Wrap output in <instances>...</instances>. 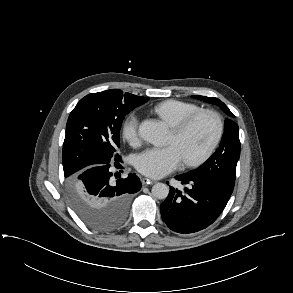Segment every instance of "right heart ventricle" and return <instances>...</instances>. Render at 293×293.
Wrapping results in <instances>:
<instances>
[{"instance_id": "right-heart-ventricle-1", "label": "right heart ventricle", "mask_w": 293, "mask_h": 293, "mask_svg": "<svg viewBox=\"0 0 293 293\" xmlns=\"http://www.w3.org/2000/svg\"><path fill=\"white\" fill-rule=\"evenodd\" d=\"M199 110H201L200 106L180 100L162 101L154 107V112L170 126L177 124L184 118Z\"/></svg>"}]
</instances>
